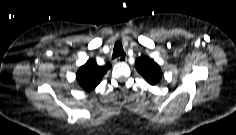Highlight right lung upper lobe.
I'll use <instances>...</instances> for the list:
<instances>
[{"mask_svg":"<svg viewBox=\"0 0 236 135\" xmlns=\"http://www.w3.org/2000/svg\"><path fill=\"white\" fill-rule=\"evenodd\" d=\"M110 68V63L99 66L95 60L90 59L79 68L76 75L77 81L84 90L92 91L100 83L104 74Z\"/></svg>","mask_w":236,"mask_h":135,"instance_id":"obj_1","label":"right lung upper lobe"}]
</instances>
